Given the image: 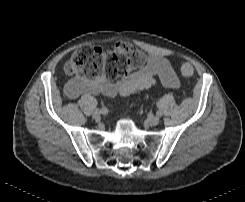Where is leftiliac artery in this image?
<instances>
[{"instance_id": "1", "label": "left iliac artery", "mask_w": 245, "mask_h": 202, "mask_svg": "<svg viewBox=\"0 0 245 202\" xmlns=\"http://www.w3.org/2000/svg\"><path fill=\"white\" fill-rule=\"evenodd\" d=\"M158 116H161L162 115V113H161V111H157V113H156Z\"/></svg>"}]
</instances>
